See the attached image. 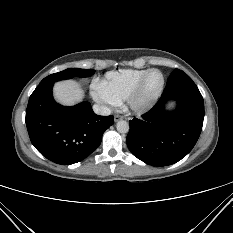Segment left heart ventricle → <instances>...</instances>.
Instances as JSON below:
<instances>
[{"label": "left heart ventricle", "mask_w": 233, "mask_h": 233, "mask_svg": "<svg viewBox=\"0 0 233 233\" xmlns=\"http://www.w3.org/2000/svg\"><path fill=\"white\" fill-rule=\"evenodd\" d=\"M161 84V76L158 72L151 73L144 85L143 93L141 96L142 100H147L153 96L159 89Z\"/></svg>", "instance_id": "left-heart-ventricle-1"}]
</instances>
